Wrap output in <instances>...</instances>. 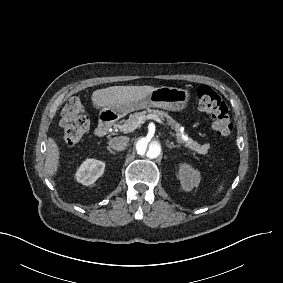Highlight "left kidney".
<instances>
[{
  "label": "left kidney",
  "mask_w": 283,
  "mask_h": 283,
  "mask_svg": "<svg viewBox=\"0 0 283 283\" xmlns=\"http://www.w3.org/2000/svg\"><path fill=\"white\" fill-rule=\"evenodd\" d=\"M199 177L200 174L198 171L194 170L189 165H181L179 180L185 191H191L194 187H197L200 181Z\"/></svg>",
  "instance_id": "1"
}]
</instances>
